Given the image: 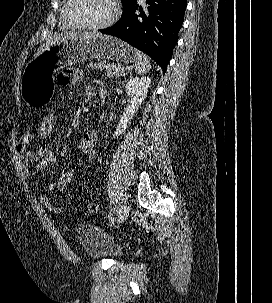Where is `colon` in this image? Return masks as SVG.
<instances>
[{"mask_svg": "<svg viewBox=\"0 0 272 303\" xmlns=\"http://www.w3.org/2000/svg\"><path fill=\"white\" fill-rule=\"evenodd\" d=\"M58 124V116L55 110L48 111L41 119L37 126V135L43 141H50L56 131ZM75 166H71L62 173L58 182H56L57 190L62 191L73 178ZM97 211V204L91 202L86 207L87 214H93Z\"/></svg>", "mask_w": 272, "mask_h": 303, "instance_id": "5ec220e1", "label": "colon"}]
</instances>
